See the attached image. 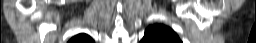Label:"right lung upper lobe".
Instances as JSON below:
<instances>
[{
  "instance_id": "obj_1",
  "label": "right lung upper lobe",
  "mask_w": 256,
  "mask_h": 43,
  "mask_svg": "<svg viewBox=\"0 0 256 43\" xmlns=\"http://www.w3.org/2000/svg\"><path fill=\"white\" fill-rule=\"evenodd\" d=\"M68 43H94V41L87 34H78L74 36Z\"/></svg>"
}]
</instances>
